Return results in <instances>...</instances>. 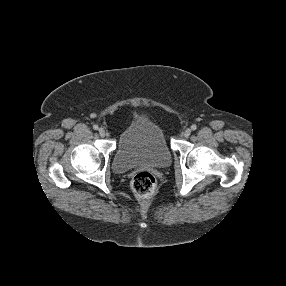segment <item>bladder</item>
<instances>
[{
	"label": "bladder",
	"instance_id": "31cf9c89",
	"mask_svg": "<svg viewBox=\"0 0 286 286\" xmlns=\"http://www.w3.org/2000/svg\"><path fill=\"white\" fill-rule=\"evenodd\" d=\"M171 162V152L162 129L155 123L136 119L121 135L113 157V167L125 173L139 166L163 168Z\"/></svg>",
	"mask_w": 286,
	"mask_h": 286
}]
</instances>
